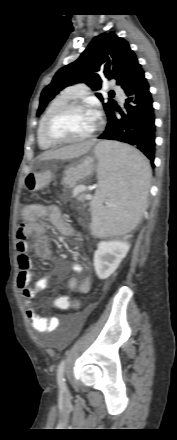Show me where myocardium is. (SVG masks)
<instances>
[{
  "label": "myocardium",
  "mask_w": 177,
  "mask_h": 440,
  "mask_svg": "<svg viewBox=\"0 0 177 440\" xmlns=\"http://www.w3.org/2000/svg\"><path fill=\"white\" fill-rule=\"evenodd\" d=\"M71 110H85V111H89V108L87 105L80 103V102H75V101H71L69 103H66L60 107H58L57 109H55L46 119L44 126H43V135L44 137L51 142L52 144H76V143H82L85 141L90 140L93 135L94 132L97 129V125L95 124L93 129L91 130L90 133H88L86 136L79 138V139H64V138H60L57 137L56 135H54L51 132V127L53 125V123L63 114L71 111Z\"/></svg>",
  "instance_id": "1"
}]
</instances>
